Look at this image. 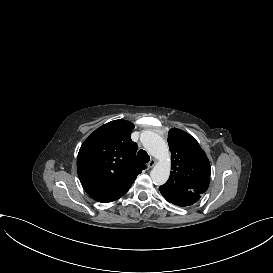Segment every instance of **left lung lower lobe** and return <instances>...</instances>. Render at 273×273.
Masks as SVG:
<instances>
[{"instance_id":"obj_1","label":"left lung lower lobe","mask_w":273,"mask_h":273,"mask_svg":"<svg viewBox=\"0 0 273 273\" xmlns=\"http://www.w3.org/2000/svg\"><path fill=\"white\" fill-rule=\"evenodd\" d=\"M161 194L164 198L175 205L185 207L188 205H192L197 202L201 195L196 194L191 191H181V192H168L162 188H160Z\"/></svg>"}]
</instances>
